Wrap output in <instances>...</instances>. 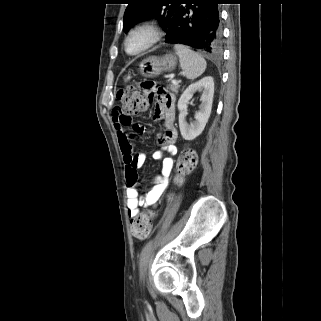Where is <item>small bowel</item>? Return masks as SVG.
<instances>
[{
  "mask_svg": "<svg viewBox=\"0 0 321 321\" xmlns=\"http://www.w3.org/2000/svg\"><path fill=\"white\" fill-rule=\"evenodd\" d=\"M137 88L138 90H149L148 94L150 96H157L158 98L154 118L162 120L163 130L156 136L159 148L154 151L153 158L162 161V169L154 177L148 192L140 196L136 184L131 185L129 182L134 175H138L137 170L144 164L146 159L144 153L134 152L132 141L133 135L141 132L143 127L140 124L133 123L131 116L124 115L118 108L114 109L112 112V122L126 165V179L128 183L126 191L127 208L130 217L137 215L141 207L155 206L158 203L163 192L168 187L169 177L174 165L172 156L177 153L175 145L177 130L175 127L174 96L162 89L161 82L138 83ZM128 128H131L132 132H128Z\"/></svg>",
  "mask_w": 321,
  "mask_h": 321,
  "instance_id": "1",
  "label": "small bowel"
}]
</instances>
